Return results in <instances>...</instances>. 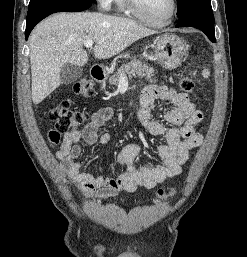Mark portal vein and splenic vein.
Here are the masks:
<instances>
[{"mask_svg": "<svg viewBox=\"0 0 247 257\" xmlns=\"http://www.w3.org/2000/svg\"><path fill=\"white\" fill-rule=\"evenodd\" d=\"M93 44H94V41H92V40H86L84 42V46L86 48H91L93 46ZM120 81L127 82V77L125 75H122Z\"/></svg>", "mask_w": 247, "mask_h": 257, "instance_id": "obj_1", "label": "portal vein and splenic vein"}]
</instances>
